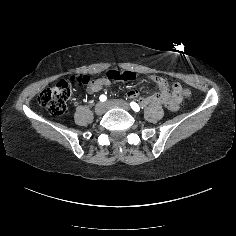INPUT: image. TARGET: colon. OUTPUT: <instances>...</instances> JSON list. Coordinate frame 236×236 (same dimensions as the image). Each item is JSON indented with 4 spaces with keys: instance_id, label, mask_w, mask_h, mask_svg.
<instances>
[{
    "instance_id": "colon-1",
    "label": "colon",
    "mask_w": 236,
    "mask_h": 236,
    "mask_svg": "<svg viewBox=\"0 0 236 236\" xmlns=\"http://www.w3.org/2000/svg\"><path fill=\"white\" fill-rule=\"evenodd\" d=\"M135 78V75L126 70H110L106 74V79L109 82H130ZM77 81L82 85H90L92 81L88 76L73 77L70 80H60L53 87L44 89L38 95V103L47 109L54 116H61L67 109V101L71 95V83ZM182 95L189 97L191 91L183 89Z\"/></svg>"
}]
</instances>
